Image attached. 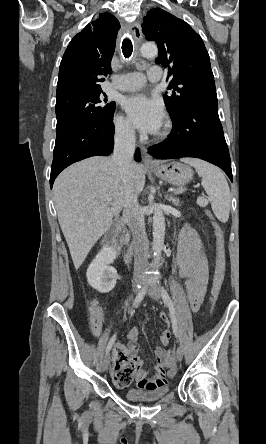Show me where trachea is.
Wrapping results in <instances>:
<instances>
[{"instance_id":"1","label":"trachea","mask_w":266,"mask_h":444,"mask_svg":"<svg viewBox=\"0 0 266 444\" xmlns=\"http://www.w3.org/2000/svg\"><path fill=\"white\" fill-rule=\"evenodd\" d=\"M133 52L132 41L129 38H125L122 42V53L125 58H129Z\"/></svg>"}]
</instances>
